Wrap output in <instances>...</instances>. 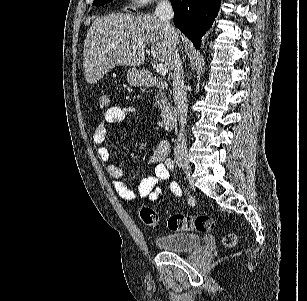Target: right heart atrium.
Returning a JSON list of instances; mask_svg holds the SVG:
<instances>
[{
  "mask_svg": "<svg viewBox=\"0 0 307 301\" xmlns=\"http://www.w3.org/2000/svg\"><path fill=\"white\" fill-rule=\"evenodd\" d=\"M136 4H145L146 0H135Z\"/></svg>",
  "mask_w": 307,
  "mask_h": 301,
  "instance_id": "obj_1",
  "label": "right heart atrium"
}]
</instances>
